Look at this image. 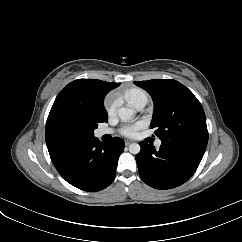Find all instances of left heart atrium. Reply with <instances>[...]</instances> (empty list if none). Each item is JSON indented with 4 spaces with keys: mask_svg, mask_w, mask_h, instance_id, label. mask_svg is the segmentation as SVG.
Masks as SVG:
<instances>
[{
    "mask_svg": "<svg viewBox=\"0 0 242 242\" xmlns=\"http://www.w3.org/2000/svg\"><path fill=\"white\" fill-rule=\"evenodd\" d=\"M143 127L142 123H135L131 125H126L122 128L121 133L127 137H135L138 134V131Z\"/></svg>",
    "mask_w": 242,
    "mask_h": 242,
    "instance_id": "left-heart-atrium-1",
    "label": "left heart atrium"
}]
</instances>
